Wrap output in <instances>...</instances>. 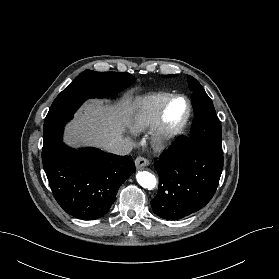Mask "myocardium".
<instances>
[{
  "label": "myocardium",
  "instance_id": "f54148a6",
  "mask_svg": "<svg viewBox=\"0 0 279 279\" xmlns=\"http://www.w3.org/2000/svg\"><path fill=\"white\" fill-rule=\"evenodd\" d=\"M176 99H183L187 110L183 120L174 127H169L165 121L166 111L169 105ZM192 114V105L188 97L182 94L172 95L161 107L158 118L151 130V145L156 150H163L172 145L176 139L184 132Z\"/></svg>",
  "mask_w": 279,
  "mask_h": 279
}]
</instances>
